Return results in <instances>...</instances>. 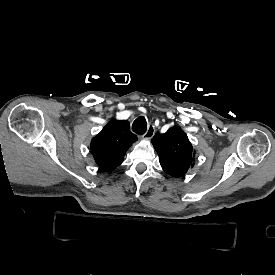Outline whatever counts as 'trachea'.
I'll list each match as a JSON object with an SVG mask.
<instances>
[{
  "label": "trachea",
  "mask_w": 275,
  "mask_h": 275,
  "mask_svg": "<svg viewBox=\"0 0 275 275\" xmlns=\"http://www.w3.org/2000/svg\"><path fill=\"white\" fill-rule=\"evenodd\" d=\"M132 130L139 135H143L147 130V122L145 117H138L132 124Z\"/></svg>",
  "instance_id": "obj_1"
}]
</instances>
